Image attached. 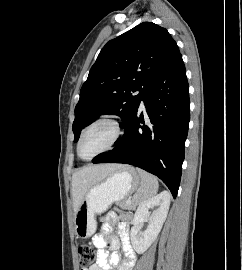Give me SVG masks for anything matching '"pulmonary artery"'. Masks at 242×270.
<instances>
[{
  "label": "pulmonary artery",
  "instance_id": "pulmonary-artery-1",
  "mask_svg": "<svg viewBox=\"0 0 242 270\" xmlns=\"http://www.w3.org/2000/svg\"><path fill=\"white\" fill-rule=\"evenodd\" d=\"M140 107H141V109H144L145 108L143 101L141 102Z\"/></svg>",
  "mask_w": 242,
  "mask_h": 270
}]
</instances>
